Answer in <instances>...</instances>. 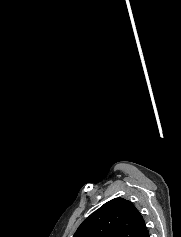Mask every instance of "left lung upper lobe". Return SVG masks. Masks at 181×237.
<instances>
[{"mask_svg":"<svg viewBox=\"0 0 181 237\" xmlns=\"http://www.w3.org/2000/svg\"><path fill=\"white\" fill-rule=\"evenodd\" d=\"M146 229L133 203L115 198L86 218L73 237H141Z\"/></svg>","mask_w":181,"mask_h":237,"instance_id":"5c2ea615","label":"left lung upper lobe"}]
</instances>
